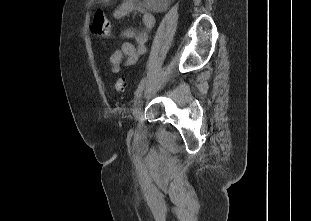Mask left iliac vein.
<instances>
[{
	"instance_id": "left-iliac-vein-1",
	"label": "left iliac vein",
	"mask_w": 311,
	"mask_h": 221,
	"mask_svg": "<svg viewBox=\"0 0 311 221\" xmlns=\"http://www.w3.org/2000/svg\"><path fill=\"white\" fill-rule=\"evenodd\" d=\"M147 94V91L146 92H143L142 94H140L137 99L135 100L134 104H133V116H134V120L135 121H138L139 118H140V115H141V108H142V105H143V101H144V98H145V95Z\"/></svg>"
}]
</instances>
